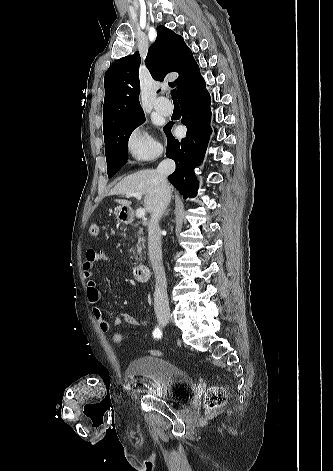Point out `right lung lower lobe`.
<instances>
[{
	"instance_id": "obj_1",
	"label": "right lung lower lobe",
	"mask_w": 333,
	"mask_h": 471,
	"mask_svg": "<svg viewBox=\"0 0 333 471\" xmlns=\"http://www.w3.org/2000/svg\"><path fill=\"white\" fill-rule=\"evenodd\" d=\"M182 109L181 122L186 125V137L178 140L171 134L172 123L164 127L167 134L166 156L176 163V170L168 179L186 199L195 197L198 182L193 167L203 161L210 128V95L206 90L204 79L197 76L178 98Z\"/></svg>"
}]
</instances>
